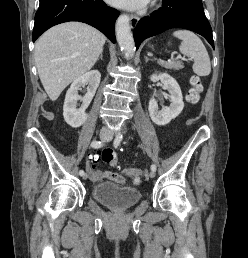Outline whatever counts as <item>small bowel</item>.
I'll return each instance as SVG.
<instances>
[{"mask_svg": "<svg viewBox=\"0 0 248 258\" xmlns=\"http://www.w3.org/2000/svg\"><path fill=\"white\" fill-rule=\"evenodd\" d=\"M100 155V154H99ZM91 179L94 182H103L105 180H113L119 184H124L125 179L124 177L116 172L104 171L96 173L95 175H91Z\"/></svg>", "mask_w": 248, "mask_h": 258, "instance_id": "1", "label": "small bowel"}]
</instances>
